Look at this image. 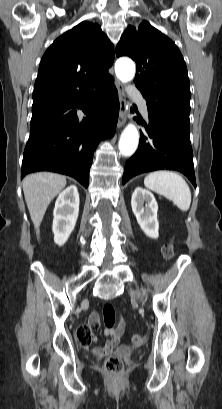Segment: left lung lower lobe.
<instances>
[{"label": "left lung lower lobe", "instance_id": "1", "mask_svg": "<svg viewBox=\"0 0 222 409\" xmlns=\"http://www.w3.org/2000/svg\"><path fill=\"white\" fill-rule=\"evenodd\" d=\"M148 137L141 133L139 149L126 162L122 183L131 177L154 170H177L196 187L193 152L190 143L188 109L180 100L148 106Z\"/></svg>", "mask_w": 222, "mask_h": 409}]
</instances>
